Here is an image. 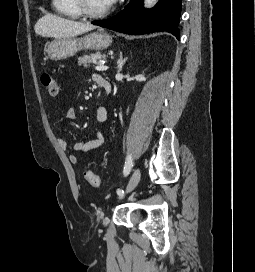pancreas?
Masks as SVG:
<instances>
[{
    "label": "pancreas",
    "mask_w": 255,
    "mask_h": 272,
    "mask_svg": "<svg viewBox=\"0 0 255 272\" xmlns=\"http://www.w3.org/2000/svg\"><path fill=\"white\" fill-rule=\"evenodd\" d=\"M101 58H104V55H102L100 53H92L89 55H84L83 57L78 58V65L79 66L83 65L84 68H87L90 66L91 63H93Z\"/></svg>",
    "instance_id": "obj_1"
}]
</instances>
